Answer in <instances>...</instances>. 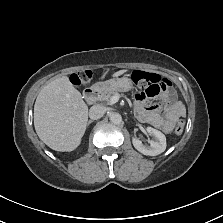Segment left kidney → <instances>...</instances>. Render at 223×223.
Segmentation results:
<instances>
[{
    "instance_id": "left-kidney-1",
    "label": "left kidney",
    "mask_w": 223,
    "mask_h": 223,
    "mask_svg": "<svg viewBox=\"0 0 223 223\" xmlns=\"http://www.w3.org/2000/svg\"><path fill=\"white\" fill-rule=\"evenodd\" d=\"M146 130L150 135L154 136V140L150 141V146L146 147L139 139L133 138L132 143L134 147L142 154L149 156H156L164 152L166 149L165 135L152 127H147Z\"/></svg>"
}]
</instances>
